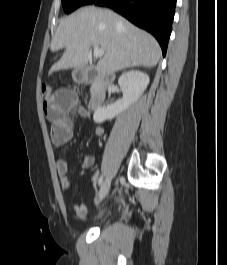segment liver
<instances>
[{"label":"liver","instance_id":"obj_1","mask_svg":"<svg viewBox=\"0 0 227 265\" xmlns=\"http://www.w3.org/2000/svg\"><path fill=\"white\" fill-rule=\"evenodd\" d=\"M95 45L105 51L97 64L98 73L103 75L127 67H154L161 55L156 39L124 17L110 10L85 7L60 21L50 49L55 52L65 48V52L49 75L86 66L90 48Z\"/></svg>","mask_w":227,"mask_h":265}]
</instances>
